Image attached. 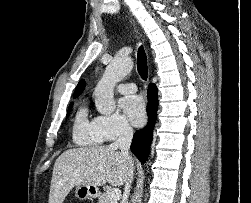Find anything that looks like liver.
<instances>
[{"mask_svg": "<svg viewBox=\"0 0 251 203\" xmlns=\"http://www.w3.org/2000/svg\"><path fill=\"white\" fill-rule=\"evenodd\" d=\"M133 161L109 146L75 148L63 152L56 160L49 194V203H63L78 185H123Z\"/></svg>", "mask_w": 251, "mask_h": 203, "instance_id": "liver-1", "label": "liver"}]
</instances>
